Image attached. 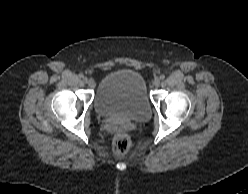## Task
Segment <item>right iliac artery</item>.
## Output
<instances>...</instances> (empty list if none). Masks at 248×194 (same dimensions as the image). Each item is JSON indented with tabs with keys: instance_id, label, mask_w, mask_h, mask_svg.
Wrapping results in <instances>:
<instances>
[{
	"instance_id": "obj_1",
	"label": "right iliac artery",
	"mask_w": 248,
	"mask_h": 194,
	"mask_svg": "<svg viewBox=\"0 0 248 194\" xmlns=\"http://www.w3.org/2000/svg\"><path fill=\"white\" fill-rule=\"evenodd\" d=\"M78 76H79L80 78H83V77H84V75H83L82 73H80Z\"/></svg>"
}]
</instances>
